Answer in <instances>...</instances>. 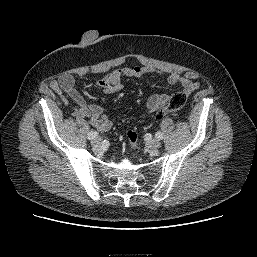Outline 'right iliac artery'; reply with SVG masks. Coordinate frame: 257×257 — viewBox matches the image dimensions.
Masks as SVG:
<instances>
[{
  "mask_svg": "<svg viewBox=\"0 0 257 257\" xmlns=\"http://www.w3.org/2000/svg\"><path fill=\"white\" fill-rule=\"evenodd\" d=\"M97 136H98V132H97V131H90V132L87 134V137H88L89 140H93V139H95Z\"/></svg>",
  "mask_w": 257,
  "mask_h": 257,
  "instance_id": "82829eb1",
  "label": "right iliac artery"
}]
</instances>
